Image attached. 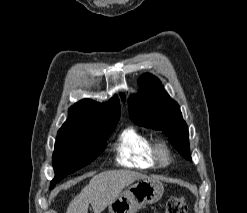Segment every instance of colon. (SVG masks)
<instances>
[{
    "label": "colon",
    "instance_id": "obj_1",
    "mask_svg": "<svg viewBox=\"0 0 247 213\" xmlns=\"http://www.w3.org/2000/svg\"><path fill=\"white\" fill-rule=\"evenodd\" d=\"M164 213H187V202L182 196L171 197L165 206Z\"/></svg>",
    "mask_w": 247,
    "mask_h": 213
}]
</instances>
